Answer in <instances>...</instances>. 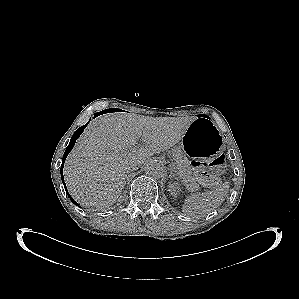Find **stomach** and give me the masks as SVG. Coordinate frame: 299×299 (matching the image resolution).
Returning <instances> with one entry per match:
<instances>
[{
	"label": "stomach",
	"mask_w": 299,
	"mask_h": 299,
	"mask_svg": "<svg viewBox=\"0 0 299 299\" xmlns=\"http://www.w3.org/2000/svg\"><path fill=\"white\" fill-rule=\"evenodd\" d=\"M187 156L195 162H206L223 149V138L207 116L196 117L182 138Z\"/></svg>",
	"instance_id": "1"
}]
</instances>
